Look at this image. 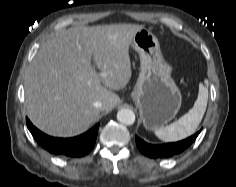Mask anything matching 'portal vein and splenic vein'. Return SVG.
Instances as JSON below:
<instances>
[{"label": "portal vein and splenic vein", "mask_w": 236, "mask_h": 187, "mask_svg": "<svg viewBox=\"0 0 236 187\" xmlns=\"http://www.w3.org/2000/svg\"><path fill=\"white\" fill-rule=\"evenodd\" d=\"M98 75H101V76H103L104 74H103V73H98Z\"/></svg>", "instance_id": "obj_1"}]
</instances>
